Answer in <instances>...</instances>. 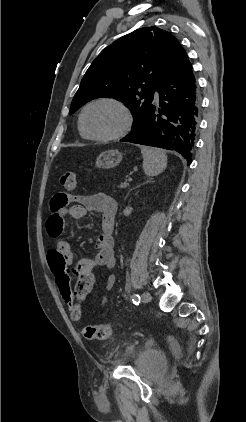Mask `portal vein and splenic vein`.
Masks as SVG:
<instances>
[{
  "label": "portal vein and splenic vein",
  "instance_id": "obj_1",
  "mask_svg": "<svg viewBox=\"0 0 246 422\" xmlns=\"http://www.w3.org/2000/svg\"><path fill=\"white\" fill-rule=\"evenodd\" d=\"M132 181V178L130 177V178H128V180L126 181V184H128V182H131Z\"/></svg>",
  "mask_w": 246,
  "mask_h": 422
}]
</instances>
